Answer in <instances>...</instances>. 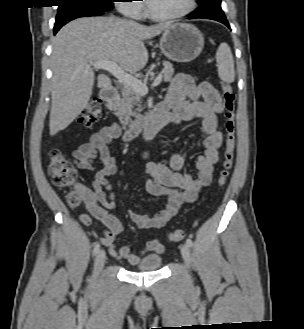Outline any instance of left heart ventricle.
I'll return each instance as SVG.
<instances>
[{
	"mask_svg": "<svg viewBox=\"0 0 304 329\" xmlns=\"http://www.w3.org/2000/svg\"><path fill=\"white\" fill-rule=\"evenodd\" d=\"M189 0H148L149 6L157 14H174L184 10Z\"/></svg>",
	"mask_w": 304,
	"mask_h": 329,
	"instance_id": "obj_1",
	"label": "left heart ventricle"
}]
</instances>
